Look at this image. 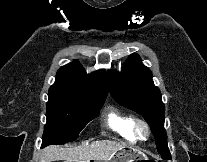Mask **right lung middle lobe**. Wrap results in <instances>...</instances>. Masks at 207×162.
<instances>
[{"label":"right lung middle lobe","instance_id":"1","mask_svg":"<svg viewBox=\"0 0 207 162\" xmlns=\"http://www.w3.org/2000/svg\"><path fill=\"white\" fill-rule=\"evenodd\" d=\"M48 96L42 147L76 140L80 131L99 114L105 101V98L54 93Z\"/></svg>","mask_w":207,"mask_h":162}]
</instances>
